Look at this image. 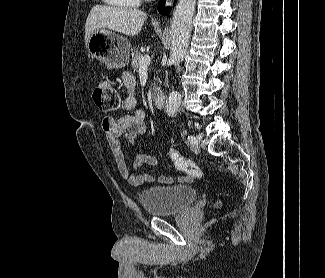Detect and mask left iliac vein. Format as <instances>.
<instances>
[{
	"label": "left iliac vein",
	"mask_w": 325,
	"mask_h": 278,
	"mask_svg": "<svg viewBox=\"0 0 325 278\" xmlns=\"http://www.w3.org/2000/svg\"><path fill=\"white\" fill-rule=\"evenodd\" d=\"M191 150L194 153H199L200 152V139L199 138H196L195 142L192 143Z\"/></svg>",
	"instance_id": "4c4485c4"
}]
</instances>
